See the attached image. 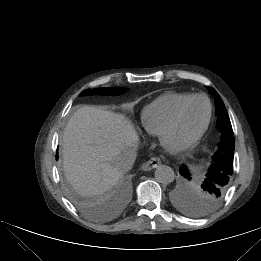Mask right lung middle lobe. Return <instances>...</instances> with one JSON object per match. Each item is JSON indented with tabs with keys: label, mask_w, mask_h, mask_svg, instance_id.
<instances>
[{
	"label": "right lung middle lobe",
	"mask_w": 261,
	"mask_h": 261,
	"mask_svg": "<svg viewBox=\"0 0 261 261\" xmlns=\"http://www.w3.org/2000/svg\"><path fill=\"white\" fill-rule=\"evenodd\" d=\"M127 91V88H96V89H87L82 92V94H97V95H120Z\"/></svg>",
	"instance_id": "1"
}]
</instances>
